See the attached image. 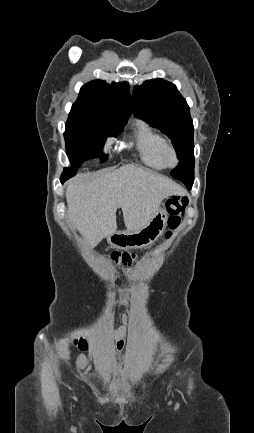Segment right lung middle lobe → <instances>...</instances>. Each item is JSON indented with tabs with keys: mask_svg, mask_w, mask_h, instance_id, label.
I'll list each match as a JSON object with an SVG mask.
<instances>
[{
	"mask_svg": "<svg viewBox=\"0 0 254 433\" xmlns=\"http://www.w3.org/2000/svg\"><path fill=\"white\" fill-rule=\"evenodd\" d=\"M126 122H114L103 111L72 108L64 133L67 155L73 165L68 169L76 171L85 160L99 157L107 137L119 135Z\"/></svg>",
	"mask_w": 254,
	"mask_h": 433,
	"instance_id": "right-lung-middle-lobe-1",
	"label": "right lung middle lobe"
}]
</instances>
